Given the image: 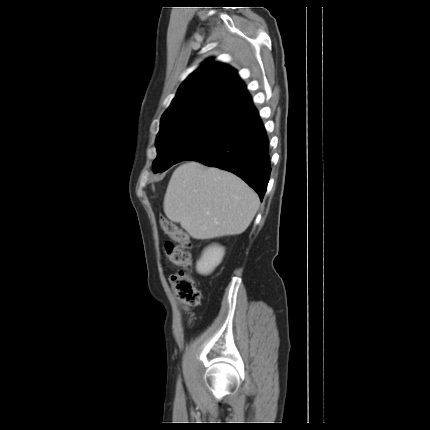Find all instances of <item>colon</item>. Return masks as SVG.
Returning a JSON list of instances; mask_svg holds the SVG:
<instances>
[{"label":"colon","instance_id":"obj_1","mask_svg":"<svg viewBox=\"0 0 430 430\" xmlns=\"http://www.w3.org/2000/svg\"><path fill=\"white\" fill-rule=\"evenodd\" d=\"M160 225L163 232L170 238L165 244V255L172 264L179 267V270L170 276L175 294L185 308L198 306L201 294L190 270L191 239L186 232L166 218H161Z\"/></svg>","mask_w":430,"mask_h":430}]
</instances>
